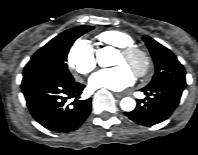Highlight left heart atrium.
<instances>
[{
	"label": "left heart atrium",
	"instance_id": "39dd6f15",
	"mask_svg": "<svg viewBox=\"0 0 198 155\" xmlns=\"http://www.w3.org/2000/svg\"><path fill=\"white\" fill-rule=\"evenodd\" d=\"M135 80L132 69L125 63L114 68L102 69L93 74L89 80L92 88H106L121 91L133 84Z\"/></svg>",
	"mask_w": 198,
	"mask_h": 155
}]
</instances>
